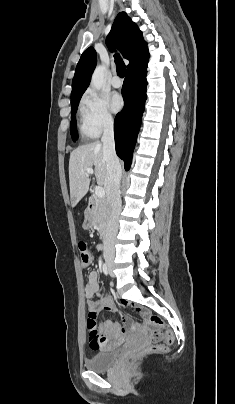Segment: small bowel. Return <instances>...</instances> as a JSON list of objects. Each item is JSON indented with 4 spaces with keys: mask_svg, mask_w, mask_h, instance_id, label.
Listing matches in <instances>:
<instances>
[{
    "mask_svg": "<svg viewBox=\"0 0 235 404\" xmlns=\"http://www.w3.org/2000/svg\"><path fill=\"white\" fill-rule=\"evenodd\" d=\"M86 297L89 299L87 303L89 316L96 318L100 311L117 312L119 311L113 298L108 294H101L98 284V273L92 271L89 273L85 287ZM94 296H98V300H92ZM127 301L122 302V306L126 307ZM123 323L114 322L111 320L104 321L96 326V332L99 338L103 339L100 344H94L91 341V346L94 349H101L106 346V343L111 340L112 345H120L125 337L132 332L130 317L123 311H119Z\"/></svg>",
    "mask_w": 235,
    "mask_h": 404,
    "instance_id": "c3829d8e",
    "label": "small bowel"
}]
</instances>
